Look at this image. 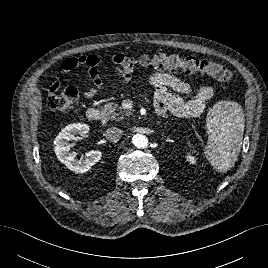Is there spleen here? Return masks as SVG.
Masks as SVG:
<instances>
[{
    "label": "spleen",
    "mask_w": 268,
    "mask_h": 268,
    "mask_svg": "<svg viewBox=\"0 0 268 268\" xmlns=\"http://www.w3.org/2000/svg\"><path fill=\"white\" fill-rule=\"evenodd\" d=\"M244 120L242 106L234 101H219L209 110L205 156L216 171L227 172L237 161L243 140Z\"/></svg>",
    "instance_id": "1"
}]
</instances>
